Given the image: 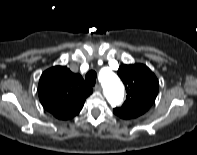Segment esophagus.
I'll return each mask as SVG.
<instances>
[{
    "instance_id": "obj_1",
    "label": "esophagus",
    "mask_w": 197,
    "mask_h": 155,
    "mask_svg": "<svg viewBox=\"0 0 197 155\" xmlns=\"http://www.w3.org/2000/svg\"><path fill=\"white\" fill-rule=\"evenodd\" d=\"M94 89L96 90V91H101V85L100 84H97L95 87H94Z\"/></svg>"
}]
</instances>
